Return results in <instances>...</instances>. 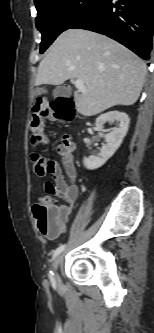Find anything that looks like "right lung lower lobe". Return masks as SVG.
I'll use <instances>...</instances> for the list:
<instances>
[{
    "label": "right lung lower lobe",
    "mask_w": 154,
    "mask_h": 333,
    "mask_svg": "<svg viewBox=\"0 0 154 333\" xmlns=\"http://www.w3.org/2000/svg\"><path fill=\"white\" fill-rule=\"evenodd\" d=\"M70 28L104 34L147 59L152 49L154 0H101Z\"/></svg>",
    "instance_id": "98d812e1"
}]
</instances>
